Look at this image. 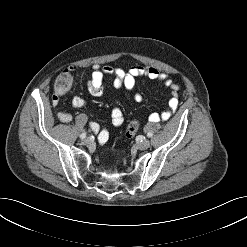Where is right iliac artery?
<instances>
[{
  "mask_svg": "<svg viewBox=\"0 0 247 247\" xmlns=\"http://www.w3.org/2000/svg\"><path fill=\"white\" fill-rule=\"evenodd\" d=\"M86 137V132H83L81 135H80V138L81 139H84Z\"/></svg>",
  "mask_w": 247,
  "mask_h": 247,
  "instance_id": "right-iliac-artery-1",
  "label": "right iliac artery"
}]
</instances>
